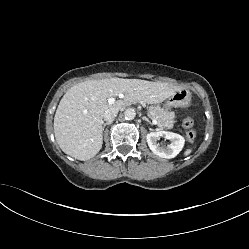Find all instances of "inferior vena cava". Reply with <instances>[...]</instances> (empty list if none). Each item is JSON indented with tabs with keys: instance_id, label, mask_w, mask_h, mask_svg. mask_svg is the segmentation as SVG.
<instances>
[{
	"instance_id": "602c4592",
	"label": "inferior vena cava",
	"mask_w": 249,
	"mask_h": 249,
	"mask_svg": "<svg viewBox=\"0 0 249 249\" xmlns=\"http://www.w3.org/2000/svg\"><path fill=\"white\" fill-rule=\"evenodd\" d=\"M118 111L119 110H117V109L107 110L104 113V120L107 122H112L115 119V117L117 116Z\"/></svg>"
}]
</instances>
